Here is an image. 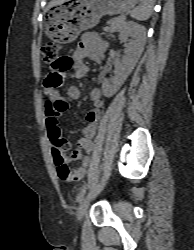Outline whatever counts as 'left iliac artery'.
I'll list each match as a JSON object with an SVG mask.
<instances>
[{"label":"left iliac artery","instance_id":"44dca946","mask_svg":"<svg viewBox=\"0 0 194 250\" xmlns=\"http://www.w3.org/2000/svg\"><path fill=\"white\" fill-rule=\"evenodd\" d=\"M85 192H86V185L81 189L80 194H79L78 197H77V201H78V202H81V200H82V198H83Z\"/></svg>","mask_w":194,"mask_h":250}]
</instances>
